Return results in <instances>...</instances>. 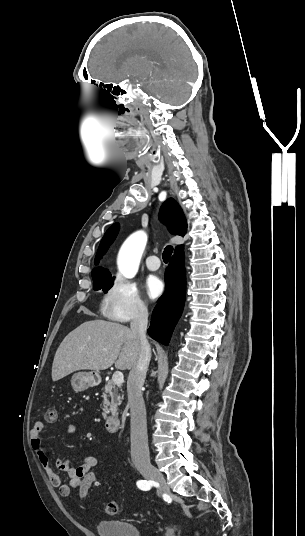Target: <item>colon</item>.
I'll list each match as a JSON object with an SVG mask.
<instances>
[{"label":"colon","mask_w":305,"mask_h":536,"mask_svg":"<svg viewBox=\"0 0 305 536\" xmlns=\"http://www.w3.org/2000/svg\"><path fill=\"white\" fill-rule=\"evenodd\" d=\"M56 415V410L54 408L48 409L45 412V418L47 421L54 420ZM101 477L98 474H87L85 476V481L82 482L80 487V495H81V501H84V498L88 497L89 490L92 487L91 483H98L100 482ZM105 511L108 514H117L119 511V505L116 501H109L106 504Z\"/></svg>","instance_id":"colon-1"}]
</instances>
